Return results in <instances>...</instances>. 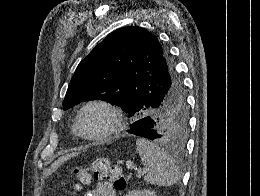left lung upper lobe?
<instances>
[{
  "mask_svg": "<svg viewBox=\"0 0 260 196\" xmlns=\"http://www.w3.org/2000/svg\"><path fill=\"white\" fill-rule=\"evenodd\" d=\"M93 99L120 106L134 121L153 120L159 142L184 147L189 126L181 79L168 49L144 28L113 31L79 63L63 109Z\"/></svg>",
  "mask_w": 260,
  "mask_h": 196,
  "instance_id": "obj_1",
  "label": "left lung upper lobe"
}]
</instances>
